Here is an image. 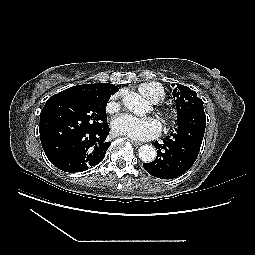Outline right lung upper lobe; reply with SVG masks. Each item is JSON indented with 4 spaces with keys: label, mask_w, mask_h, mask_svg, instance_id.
I'll return each instance as SVG.
<instances>
[{
    "label": "right lung upper lobe",
    "mask_w": 255,
    "mask_h": 255,
    "mask_svg": "<svg viewBox=\"0 0 255 255\" xmlns=\"http://www.w3.org/2000/svg\"><path fill=\"white\" fill-rule=\"evenodd\" d=\"M116 91H118V87L109 83L83 84L70 87L58 93L57 95H76V96L99 95L110 97Z\"/></svg>",
    "instance_id": "right-lung-upper-lobe-1"
}]
</instances>
